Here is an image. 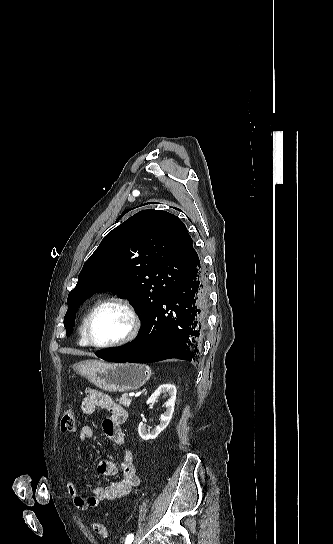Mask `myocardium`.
<instances>
[{
	"instance_id": "f54148a6",
	"label": "myocardium",
	"mask_w": 333,
	"mask_h": 544,
	"mask_svg": "<svg viewBox=\"0 0 333 544\" xmlns=\"http://www.w3.org/2000/svg\"><path fill=\"white\" fill-rule=\"evenodd\" d=\"M109 303L119 304V305L123 306L127 310V312L130 315V318H131V326H130V329H129L128 333L123 338H121V339H119V340H117L115 342L100 344V343L95 342L93 340L92 336H91V330H90L91 329V322H92V319H93L94 315L96 314V312L101 307H103L104 305L109 304ZM140 329H141V318H140V315L138 313V310H137L136 306L134 305V303L129 298L124 297V296H120V295L108 296V297L103 298L99 302H97L90 309V311L88 312V314L86 316V319H85V323H84V334H85V338H86L88 344L90 346L98 348V349H110V348H116V347L123 346V345L133 341L137 337V335L139 334Z\"/></svg>"
}]
</instances>
